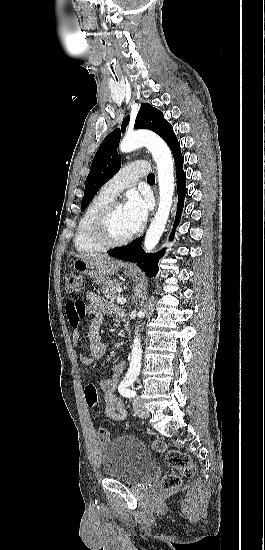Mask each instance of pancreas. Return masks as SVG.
Listing matches in <instances>:
<instances>
[{"instance_id":"pancreas-1","label":"pancreas","mask_w":265,"mask_h":550,"mask_svg":"<svg viewBox=\"0 0 265 550\" xmlns=\"http://www.w3.org/2000/svg\"><path fill=\"white\" fill-rule=\"evenodd\" d=\"M121 286V281L113 279L104 283V285L102 286V292L107 299L113 301L114 299L119 297L117 289L121 288Z\"/></svg>"}]
</instances>
